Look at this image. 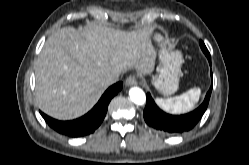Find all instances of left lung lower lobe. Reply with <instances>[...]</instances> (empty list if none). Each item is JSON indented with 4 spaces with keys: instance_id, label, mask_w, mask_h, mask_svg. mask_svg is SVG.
I'll return each instance as SVG.
<instances>
[{
    "instance_id": "obj_1",
    "label": "left lung lower lobe",
    "mask_w": 249,
    "mask_h": 165,
    "mask_svg": "<svg viewBox=\"0 0 249 165\" xmlns=\"http://www.w3.org/2000/svg\"><path fill=\"white\" fill-rule=\"evenodd\" d=\"M211 65V60L209 59ZM212 77V72H211ZM212 85L204 102L194 111L184 115H170L162 111L147 93V102L143 112L145 122L152 128L166 134H180L191 130L201 119L207 109L211 96Z\"/></svg>"
}]
</instances>
